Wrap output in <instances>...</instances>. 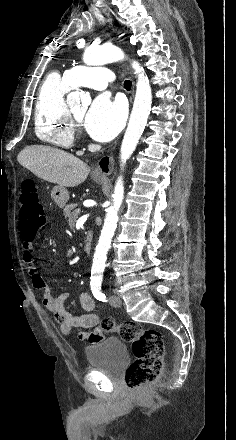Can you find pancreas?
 <instances>
[{
    "label": "pancreas",
    "instance_id": "cf45deb5",
    "mask_svg": "<svg viewBox=\"0 0 236 440\" xmlns=\"http://www.w3.org/2000/svg\"><path fill=\"white\" fill-rule=\"evenodd\" d=\"M78 206V204H69L64 208V216L69 219H76L77 214L75 212V208Z\"/></svg>",
    "mask_w": 236,
    "mask_h": 440
}]
</instances>
